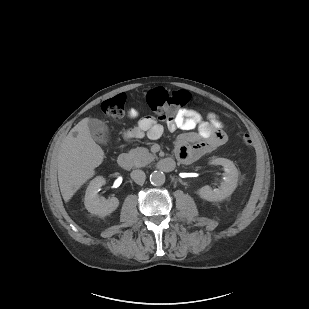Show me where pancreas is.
I'll use <instances>...</instances> for the list:
<instances>
[{
  "label": "pancreas",
  "mask_w": 309,
  "mask_h": 309,
  "mask_svg": "<svg viewBox=\"0 0 309 309\" xmlns=\"http://www.w3.org/2000/svg\"><path fill=\"white\" fill-rule=\"evenodd\" d=\"M133 165L137 168L144 167L154 161L155 156L149 152L147 148L137 147L128 152Z\"/></svg>",
  "instance_id": "cf45deb5"
}]
</instances>
